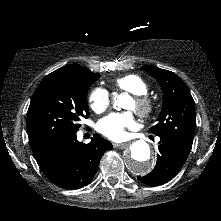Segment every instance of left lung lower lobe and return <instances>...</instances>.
<instances>
[{"mask_svg":"<svg viewBox=\"0 0 221 221\" xmlns=\"http://www.w3.org/2000/svg\"><path fill=\"white\" fill-rule=\"evenodd\" d=\"M158 151L153 171L146 176L138 177V180L144 184L156 186L169 181L181 170L188 156L164 138L158 143Z\"/></svg>","mask_w":221,"mask_h":221,"instance_id":"0a47b994","label":"left lung lower lobe"}]
</instances>
